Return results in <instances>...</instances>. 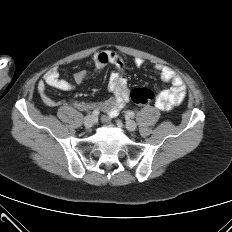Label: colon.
Here are the masks:
<instances>
[{"label":"colon","instance_id":"5ec220e1","mask_svg":"<svg viewBox=\"0 0 232 232\" xmlns=\"http://www.w3.org/2000/svg\"><path fill=\"white\" fill-rule=\"evenodd\" d=\"M130 98L135 104L146 105L154 99V93L148 88H134L130 92Z\"/></svg>","mask_w":232,"mask_h":232}]
</instances>
